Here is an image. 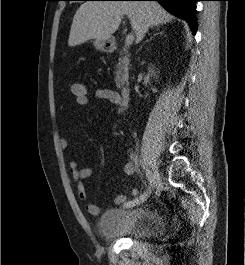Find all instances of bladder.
Listing matches in <instances>:
<instances>
[{"label":"bladder","mask_w":245,"mask_h":265,"mask_svg":"<svg viewBox=\"0 0 245 265\" xmlns=\"http://www.w3.org/2000/svg\"><path fill=\"white\" fill-rule=\"evenodd\" d=\"M97 229L103 236L142 240L159 236L164 230V225L151 209L109 208L100 214Z\"/></svg>","instance_id":"bladder-1"}]
</instances>
